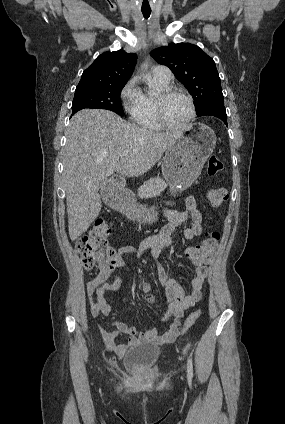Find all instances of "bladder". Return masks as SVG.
I'll use <instances>...</instances> for the list:
<instances>
[{
  "label": "bladder",
  "mask_w": 285,
  "mask_h": 424,
  "mask_svg": "<svg viewBox=\"0 0 285 424\" xmlns=\"http://www.w3.org/2000/svg\"><path fill=\"white\" fill-rule=\"evenodd\" d=\"M164 348L152 343H142L127 350L123 365L132 372L153 368L163 357Z\"/></svg>",
  "instance_id": "obj_1"
}]
</instances>
